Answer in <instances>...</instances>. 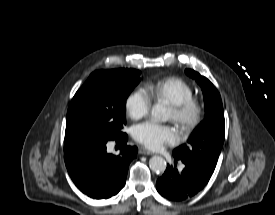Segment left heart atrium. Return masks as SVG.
Segmentation results:
<instances>
[{"mask_svg": "<svg viewBox=\"0 0 275 215\" xmlns=\"http://www.w3.org/2000/svg\"><path fill=\"white\" fill-rule=\"evenodd\" d=\"M134 139L150 149H159L165 144H174L178 135L170 125L147 121L133 127Z\"/></svg>", "mask_w": 275, "mask_h": 215, "instance_id": "39dd6f15", "label": "left heart atrium"}]
</instances>
